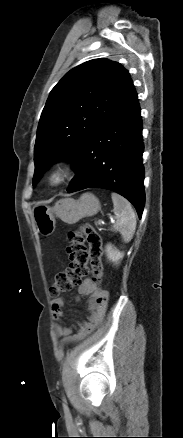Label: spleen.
Wrapping results in <instances>:
<instances>
[{"label": "spleen", "mask_w": 183, "mask_h": 438, "mask_svg": "<svg viewBox=\"0 0 183 438\" xmlns=\"http://www.w3.org/2000/svg\"><path fill=\"white\" fill-rule=\"evenodd\" d=\"M116 222L113 231H119L124 242H129L136 230V217L131 204L116 193L111 194Z\"/></svg>", "instance_id": "obj_1"}]
</instances>
